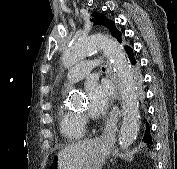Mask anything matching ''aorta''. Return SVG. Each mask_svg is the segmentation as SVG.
<instances>
[{"mask_svg": "<svg viewBox=\"0 0 177 169\" xmlns=\"http://www.w3.org/2000/svg\"><path fill=\"white\" fill-rule=\"evenodd\" d=\"M102 49L110 60L117 76L123 105V121L118 137L122 150H126L136 139L139 131V102L131 65L120 45L112 38L104 35H92L79 40L66 49L62 55L64 67H71L88 55ZM69 102L73 105L81 102L78 94H72Z\"/></svg>", "mask_w": 177, "mask_h": 169, "instance_id": "obj_1", "label": "aorta"}]
</instances>
